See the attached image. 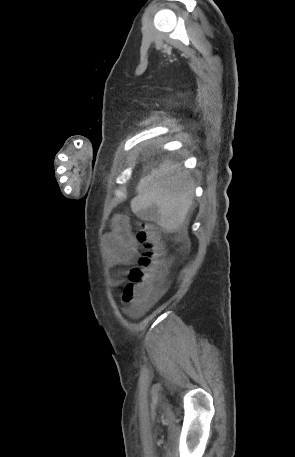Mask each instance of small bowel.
Masks as SVG:
<instances>
[{
    "mask_svg": "<svg viewBox=\"0 0 295 457\" xmlns=\"http://www.w3.org/2000/svg\"><path fill=\"white\" fill-rule=\"evenodd\" d=\"M105 246L111 260L116 264L131 265L139 254V241L132 231L130 220L124 215H115L112 219L111 230L105 235ZM167 290L165 282L153 285L152 292L140 311L146 310Z\"/></svg>",
    "mask_w": 295,
    "mask_h": 457,
    "instance_id": "obj_1",
    "label": "small bowel"
}]
</instances>
